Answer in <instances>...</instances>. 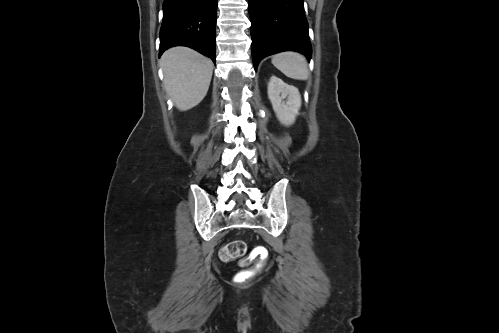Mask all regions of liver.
Listing matches in <instances>:
<instances>
[{
    "instance_id": "6515ba94",
    "label": "liver",
    "mask_w": 499,
    "mask_h": 333,
    "mask_svg": "<svg viewBox=\"0 0 499 333\" xmlns=\"http://www.w3.org/2000/svg\"><path fill=\"white\" fill-rule=\"evenodd\" d=\"M167 94L181 111L198 105L206 96L212 78L210 59L188 47H173L160 60Z\"/></svg>"
}]
</instances>
